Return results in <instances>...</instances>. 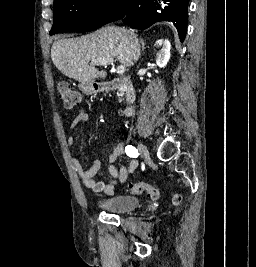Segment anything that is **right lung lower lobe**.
<instances>
[{"label":"right lung lower lobe","mask_w":256,"mask_h":267,"mask_svg":"<svg viewBox=\"0 0 256 267\" xmlns=\"http://www.w3.org/2000/svg\"><path fill=\"white\" fill-rule=\"evenodd\" d=\"M188 3L189 0H131L124 13L127 15L124 22L140 30L156 22H172L183 42L187 31Z\"/></svg>","instance_id":"obj_1"}]
</instances>
